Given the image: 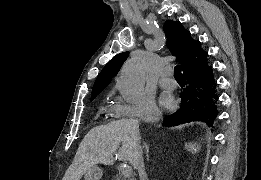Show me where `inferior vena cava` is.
I'll return each instance as SVG.
<instances>
[{
    "label": "inferior vena cava",
    "mask_w": 261,
    "mask_h": 180,
    "mask_svg": "<svg viewBox=\"0 0 261 180\" xmlns=\"http://www.w3.org/2000/svg\"><path fill=\"white\" fill-rule=\"evenodd\" d=\"M142 156H143L142 148H139V150H137L135 160H131V164H132L133 168H137L140 178H144V176H145Z\"/></svg>",
    "instance_id": "1"
}]
</instances>
